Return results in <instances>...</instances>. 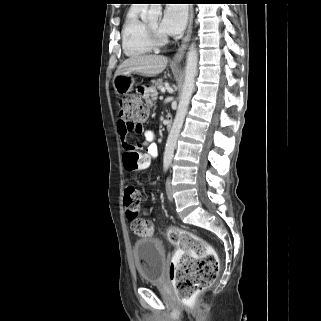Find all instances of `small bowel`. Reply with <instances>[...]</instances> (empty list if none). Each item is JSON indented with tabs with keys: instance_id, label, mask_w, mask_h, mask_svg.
Instances as JSON below:
<instances>
[{
	"instance_id": "c3829d8e",
	"label": "small bowel",
	"mask_w": 321,
	"mask_h": 321,
	"mask_svg": "<svg viewBox=\"0 0 321 321\" xmlns=\"http://www.w3.org/2000/svg\"><path fill=\"white\" fill-rule=\"evenodd\" d=\"M145 85L140 83L138 87L135 88V93L139 95V97H144L147 102L151 101L150 92L144 90ZM117 131L120 138L121 146L124 151V158L133 151H138L137 147L131 145L128 141V135L130 133V129L126 126V124L122 121L117 123ZM156 138V134L153 130L147 129L144 131V143L143 145L147 148V153L144 154L150 161V158L155 157L157 155V147L154 144V140ZM144 214H148V211H144Z\"/></svg>"
}]
</instances>
